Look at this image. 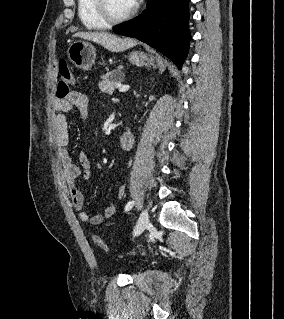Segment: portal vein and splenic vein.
Listing matches in <instances>:
<instances>
[{"label": "portal vein and splenic vein", "instance_id": "1", "mask_svg": "<svg viewBox=\"0 0 284 319\" xmlns=\"http://www.w3.org/2000/svg\"><path fill=\"white\" fill-rule=\"evenodd\" d=\"M129 88H130L129 85H119V91L120 92H126V91L129 90Z\"/></svg>", "mask_w": 284, "mask_h": 319}]
</instances>
